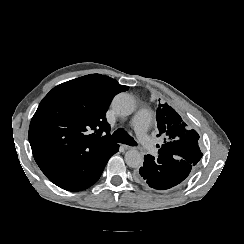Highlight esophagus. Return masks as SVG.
I'll return each instance as SVG.
<instances>
[{
	"label": "esophagus",
	"mask_w": 244,
	"mask_h": 244,
	"mask_svg": "<svg viewBox=\"0 0 244 244\" xmlns=\"http://www.w3.org/2000/svg\"><path fill=\"white\" fill-rule=\"evenodd\" d=\"M122 146V148L124 149V150H129V149H132V147L130 146V145H121Z\"/></svg>",
	"instance_id": "34e87169"
}]
</instances>
